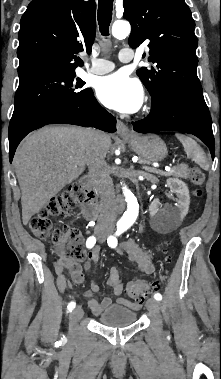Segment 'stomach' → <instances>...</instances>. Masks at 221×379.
Returning a JSON list of instances; mask_svg holds the SVG:
<instances>
[{"mask_svg":"<svg viewBox=\"0 0 221 379\" xmlns=\"http://www.w3.org/2000/svg\"><path fill=\"white\" fill-rule=\"evenodd\" d=\"M125 141L139 158L145 162L162 161L168 154L164 141L154 134H134L130 137H126Z\"/></svg>","mask_w":221,"mask_h":379,"instance_id":"1","label":"stomach"}]
</instances>
